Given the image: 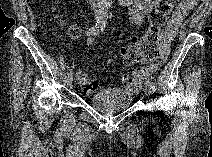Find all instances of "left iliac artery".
<instances>
[{
  "mask_svg": "<svg viewBox=\"0 0 212 157\" xmlns=\"http://www.w3.org/2000/svg\"><path fill=\"white\" fill-rule=\"evenodd\" d=\"M145 85L149 87L151 90L155 91L156 88L150 80H146Z\"/></svg>",
  "mask_w": 212,
  "mask_h": 157,
  "instance_id": "obj_1",
  "label": "left iliac artery"
}]
</instances>
